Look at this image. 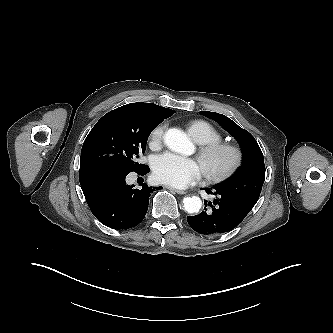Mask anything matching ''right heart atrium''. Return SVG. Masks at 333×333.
<instances>
[{
	"label": "right heart atrium",
	"mask_w": 333,
	"mask_h": 333,
	"mask_svg": "<svg viewBox=\"0 0 333 333\" xmlns=\"http://www.w3.org/2000/svg\"><path fill=\"white\" fill-rule=\"evenodd\" d=\"M165 126L163 124H159L155 126L149 135V145L151 148H158L163 141Z\"/></svg>",
	"instance_id": "1"
}]
</instances>
